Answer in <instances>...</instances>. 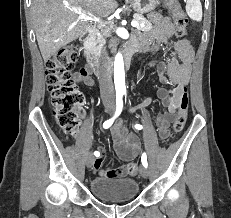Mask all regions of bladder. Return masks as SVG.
<instances>
[{"label": "bladder", "instance_id": "bladder-1", "mask_svg": "<svg viewBox=\"0 0 231 218\" xmlns=\"http://www.w3.org/2000/svg\"><path fill=\"white\" fill-rule=\"evenodd\" d=\"M92 194L105 202H127L138 193V182L130 177L98 176L90 183Z\"/></svg>", "mask_w": 231, "mask_h": 218}]
</instances>
